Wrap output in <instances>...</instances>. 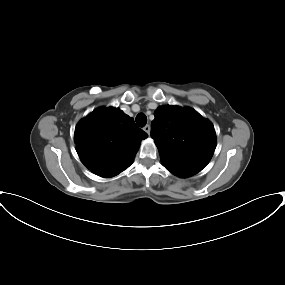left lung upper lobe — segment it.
<instances>
[{"label": "left lung upper lobe", "instance_id": "obj_1", "mask_svg": "<svg viewBox=\"0 0 285 285\" xmlns=\"http://www.w3.org/2000/svg\"><path fill=\"white\" fill-rule=\"evenodd\" d=\"M151 137L164 165L201 171L216 147L212 123L191 108L160 106L154 112Z\"/></svg>", "mask_w": 285, "mask_h": 285}]
</instances>
